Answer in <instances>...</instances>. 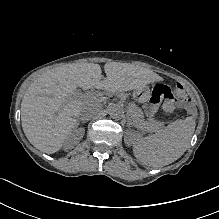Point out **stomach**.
<instances>
[{
    "mask_svg": "<svg viewBox=\"0 0 219 219\" xmlns=\"http://www.w3.org/2000/svg\"><path fill=\"white\" fill-rule=\"evenodd\" d=\"M149 90L145 87H140L135 91V97L138 100H143L147 97Z\"/></svg>",
    "mask_w": 219,
    "mask_h": 219,
    "instance_id": "stomach-1",
    "label": "stomach"
}]
</instances>
